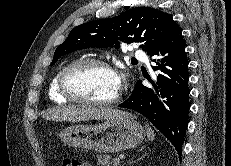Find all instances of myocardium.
Wrapping results in <instances>:
<instances>
[{"label":"myocardium","mask_w":231,"mask_h":166,"mask_svg":"<svg viewBox=\"0 0 231 166\" xmlns=\"http://www.w3.org/2000/svg\"><path fill=\"white\" fill-rule=\"evenodd\" d=\"M89 65L101 66L111 71L112 73L116 74L115 68L106 60H103L100 58H90V57L74 60L70 64H68L66 67H64L63 70L61 71V74L58 80V86H59L60 93L70 101L85 104V105L107 107V106H112L116 104L120 100L121 95H122V89L120 85H119L118 91L115 94V96L108 100H93V99L84 98L82 96L77 95L71 90L68 84V79L71 73L75 71L76 69L89 66Z\"/></svg>","instance_id":"f54148a6"}]
</instances>
